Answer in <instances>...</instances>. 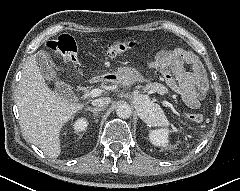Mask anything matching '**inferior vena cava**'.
Segmentation results:
<instances>
[{
	"instance_id": "1",
	"label": "inferior vena cava",
	"mask_w": 240,
	"mask_h": 191,
	"mask_svg": "<svg viewBox=\"0 0 240 191\" xmlns=\"http://www.w3.org/2000/svg\"><path fill=\"white\" fill-rule=\"evenodd\" d=\"M111 103V99L109 97L98 98L92 101V105L95 106L96 109H104L105 106Z\"/></svg>"
}]
</instances>
